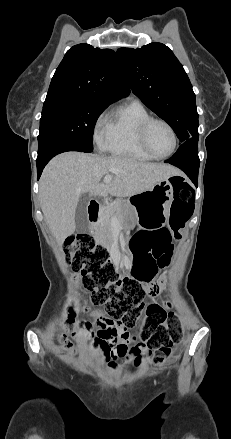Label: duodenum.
<instances>
[{"instance_id":"1","label":"duodenum","mask_w":231,"mask_h":439,"mask_svg":"<svg viewBox=\"0 0 231 439\" xmlns=\"http://www.w3.org/2000/svg\"><path fill=\"white\" fill-rule=\"evenodd\" d=\"M88 210H89L90 221L92 223H95L98 218V214L100 210L99 204L96 201H91Z\"/></svg>"}]
</instances>
